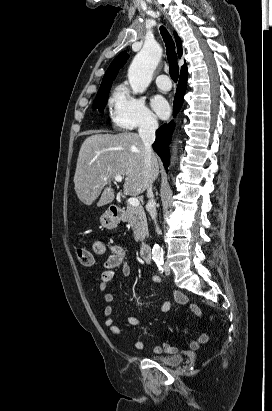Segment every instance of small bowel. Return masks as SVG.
<instances>
[{
	"label": "small bowel",
	"instance_id": "obj_1",
	"mask_svg": "<svg viewBox=\"0 0 272 411\" xmlns=\"http://www.w3.org/2000/svg\"><path fill=\"white\" fill-rule=\"evenodd\" d=\"M94 251L97 254L103 255L109 253L108 258L104 263L105 270L101 275V282H100V291L104 294V300L106 302V306L103 309V317H104V324L108 328V330L116 335L120 336L122 334L121 329L117 326L113 319V305L115 303V297L112 293L107 292L106 289L108 285H110L116 276V269H119L120 274L123 277H128L131 274V265L127 259V254L125 249L118 245V244H110L102 240H98L94 243ZM152 281L154 283H161V279L157 276L152 277ZM172 298L179 304L186 306L188 305V299L179 291L172 292ZM190 309L202 319V313L200 309L194 305H189ZM171 308V301L167 300L163 302L161 305L160 311L162 313H166ZM150 321V319H140L136 316L129 315L127 317V322L132 326H139L142 324H146ZM208 340V335L206 333H202L197 339L190 342V350L195 351L199 349V347L206 343ZM135 346L138 350H143L145 347V343L142 340H138L135 343ZM153 351L155 353H169L175 354L177 353V348L170 345L167 342H163L161 345H155L153 347Z\"/></svg>",
	"mask_w": 272,
	"mask_h": 411
}]
</instances>
